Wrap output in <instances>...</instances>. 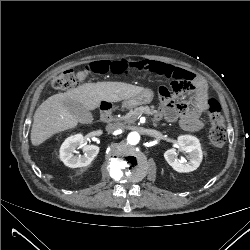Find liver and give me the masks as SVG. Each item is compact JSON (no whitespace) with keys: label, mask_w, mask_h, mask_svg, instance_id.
<instances>
[{"label":"liver","mask_w":250,"mask_h":250,"mask_svg":"<svg viewBox=\"0 0 250 250\" xmlns=\"http://www.w3.org/2000/svg\"><path fill=\"white\" fill-rule=\"evenodd\" d=\"M143 90V87L123 82H97L85 83L70 91L54 94L34 113L31 143L38 146L52 135L77 126L78 120L63 104L66 99L77 101L88 110H95L102 101L119 102L134 97Z\"/></svg>","instance_id":"obj_1"}]
</instances>
